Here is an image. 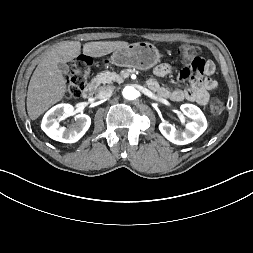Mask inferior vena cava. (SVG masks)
Returning <instances> with one entry per match:
<instances>
[{
  "instance_id": "602c4592",
  "label": "inferior vena cava",
  "mask_w": 253,
  "mask_h": 253,
  "mask_svg": "<svg viewBox=\"0 0 253 253\" xmlns=\"http://www.w3.org/2000/svg\"><path fill=\"white\" fill-rule=\"evenodd\" d=\"M114 91V87L113 86H101L98 90V95L97 97L99 99H104L108 96H110Z\"/></svg>"
}]
</instances>
